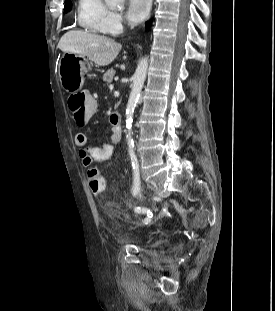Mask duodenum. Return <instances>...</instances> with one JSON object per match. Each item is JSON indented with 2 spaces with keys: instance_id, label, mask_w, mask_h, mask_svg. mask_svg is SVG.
Instances as JSON below:
<instances>
[{
  "instance_id": "obj_1",
  "label": "duodenum",
  "mask_w": 275,
  "mask_h": 311,
  "mask_svg": "<svg viewBox=\"0 0 275 311\" xmlns=\"http://www.w3.org/2000/svg\"><path fill=\"white\" fill-rule=\"evenodd\" d=\"M111 119H118L119 120V125L121 124V116L117 113H113L111 115Z\"/></svg>"
}]
</instances>
